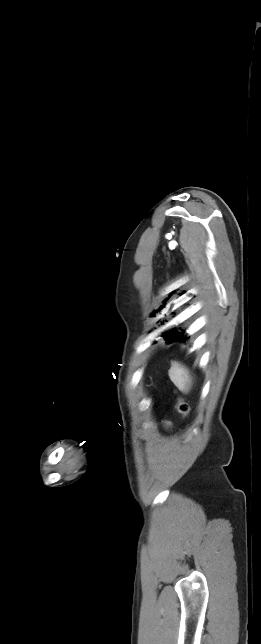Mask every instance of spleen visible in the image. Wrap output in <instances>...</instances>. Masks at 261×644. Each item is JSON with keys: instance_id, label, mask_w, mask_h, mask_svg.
<instances>
[{"instance_id": "1", "label": "spleen", "mask_w": 261, "mask_h": 644, "mask_svg": "<svg viewBox=\"0 0 261 644\" xmlns=\"http://www.w3.org/2000/svg\"><path fill=\"white\" fill-rule=\"evenodd\" d=\"M168 375L174 385L183 393H188L192 383V377L188 369L182 366L180 363L172 361L171 368L168 371Z\"/></svg>"}]
</instances>
